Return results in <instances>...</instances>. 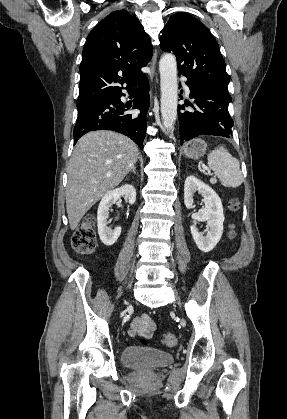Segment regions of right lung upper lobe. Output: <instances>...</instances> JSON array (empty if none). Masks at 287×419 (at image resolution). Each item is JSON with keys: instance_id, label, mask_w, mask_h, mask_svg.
Listing matches in <instances>:
<instances>
[{"instance_id": "cb5924a9", "label": "right lung upper lobe", "mask_w": 287, "mask_h": 419, "mask_svg": "<svg viewBox=\"0 0 287 419\" xmlns=\"http://www.w3.org/2000/svg\"><path fill=\"white\" fill-rule=\"evenodd\" d=\"M153 46L139 20L114 11L89 33L82 52L77 106H87L122 91L145 75Z\"/></svg>"}]
</instances>
